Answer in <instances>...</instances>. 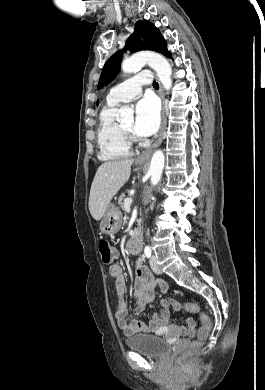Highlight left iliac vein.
<instances>
[{"label":"left iliac vein","mask_w":265,"mask_h":390,"mask_svg":"<svg viewBox=\"0 0 265 390\" xmlns=\"http://www.w3.org/2000/svg\"><path fill=\"white\" fill-rule=\"evenodd\" d=\"M150 266H151L152 270L155 273H157V274H161L162 273L160 267L157 264L155 256H151V258H150Z\"/></svg>","instance_id":"1"}]
</instances>
